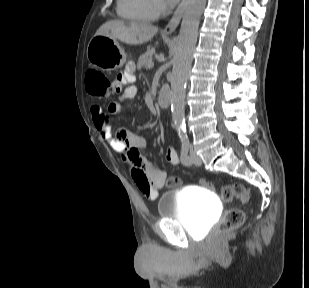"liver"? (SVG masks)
<instances>
[{
  "mask_svg": "<svg viewBox=\"0 0 309 288\" xmlns=\"http://www.w3.org/2000/svg\"><path fill=\"white\" fill-rule=\"evenodd\" d=\"M158 32V27L147 23L126 24L121 20H111L104 23L96 35H105L119 39L129 45H141L148 42Z\"/></svg>",
  "mask_w": 309,
  "mask_h": 288,
  "instance_id": "1",
  "label": "liver"
}]
</instances>
